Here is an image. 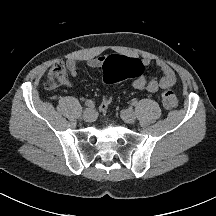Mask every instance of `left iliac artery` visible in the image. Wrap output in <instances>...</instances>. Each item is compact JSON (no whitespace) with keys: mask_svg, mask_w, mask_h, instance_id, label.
<instances>
[{"mask_svg":"<svg viewBox=\"0 0 216 216\" xmlns=\"http://www.w3.org/2000/svg\"><path fill=\"white\" fill-rule=\"evenodd\" d=\"M132 105H134V106L137 105V100H136V99H133V100H132Z\"/></svg>","mask_w":216,"mask_h":216,"instance_id":"1","label":"left iliac artery"}]
</instances>
